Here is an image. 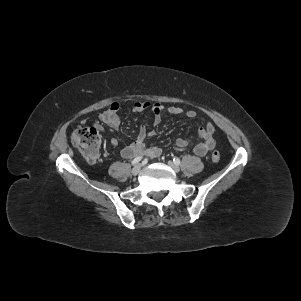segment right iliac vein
<instances>
[{
	"label": "right iliac vein",
	"mask_w": 301,
	"mask_h": 301,
	"mask_svg": "<svg viewBox=\"0 0 301 301\" xmlns=\"http://www.w3.org/2000/svg\"><path fill=\"white\" fill-rule=\"evenodd\" d=\"M140 170H141V165H140V164H137V165H135V166L133 167V169H132V174H133V175H137V174L140 172Z\"/></svg>",
	"instance_id": "right-iliac-vein-1"
}]
</instances>
